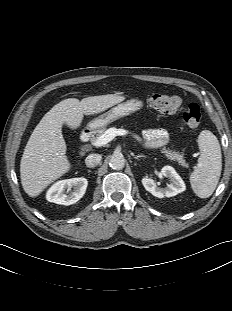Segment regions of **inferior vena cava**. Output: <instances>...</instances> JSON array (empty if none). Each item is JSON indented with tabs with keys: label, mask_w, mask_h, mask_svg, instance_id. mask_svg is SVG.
<instances>
[{
	"label": "inferior vena cava",
	"mask_w": 232,
	"mask_h": 311,
	"mask_svg": "<svg viewBox=\"0 0 232 311\" xmlns=\"http://www.w3.org/2000/svg\"><path fill=\"white\" fill-rule=\"evenodd\" d=\"M101 155L99 154H90L85 159V164L89 168L96 167L101 161Z\"/></svg>",
	"instance_id": "inferior-vena-cava-1"
}]
</instances>
